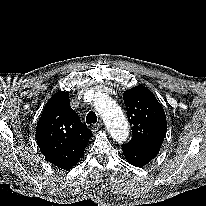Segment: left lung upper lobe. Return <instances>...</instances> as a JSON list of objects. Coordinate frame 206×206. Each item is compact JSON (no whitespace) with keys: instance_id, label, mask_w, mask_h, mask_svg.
<instances>
[{"instance_id":"obj_1","label":"left lung upper lobe","mask_w":206,"mask_h":206,"mask_svg":"<svg viewBox=\"0 0 206 206\" xmlns=\"http://www.w3.org/2000/svg\"><path fill=\"white\" fill-rule=\"evenodd\" d=\"M123 100L133 136L122 146V149L157 155L167 130L166 115L162 105L154 94L142 85L125 91Z\"/></svg>"}]
</instances>
